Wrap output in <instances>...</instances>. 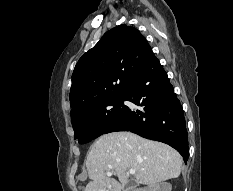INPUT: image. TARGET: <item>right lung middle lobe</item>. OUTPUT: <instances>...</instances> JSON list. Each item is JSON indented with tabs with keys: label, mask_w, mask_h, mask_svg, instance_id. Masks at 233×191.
<instances>
[{
	"label": "right lung middle lobe",
	"mask_w": 233,
	"mask_h": 191,
	"mask_svg": "<svg viewBox=\"0 0 233 191\" xmlns=\"http://www.w3.org/2000/svg\"><path fill=\"white\" fill-rule=\"evenodd\" d=\"M125 100L126 96L118 97L71 117L74 138L84 144L104 134L127 111Z\"/></svg>",
	"instance_id": "1"
}]
</instances>
